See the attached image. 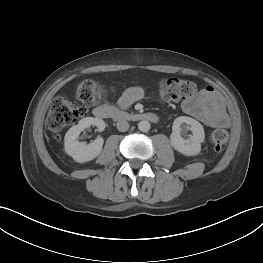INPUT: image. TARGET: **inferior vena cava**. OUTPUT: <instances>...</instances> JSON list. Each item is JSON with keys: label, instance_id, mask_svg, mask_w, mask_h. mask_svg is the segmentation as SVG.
Listing matches in <instances>:
<instances>
[{"label": "inferior vena cava", "instance_id": "obj_1", "mask_svg": "<svg viewBox=\"0 0 263 263\" xmlns=\"http://www.w3.org/2000/svg\"><path fill=\"white\" fill-rule=\"evenodd\" d=\"M117 129L120 131V132H125L129 129V124L126 120H119L117 122Z\"/></svg>", "mask_w": 263, "mask_h": 263}]
</instances>
